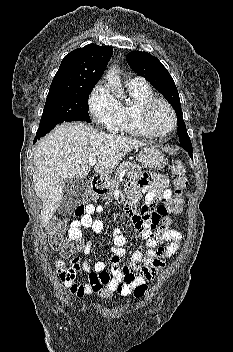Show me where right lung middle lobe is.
<instances>
[{"instance_id":"right-lung-middle-lobe-1","label":"right lung middle lobe","mask_w":233,"mask_h":352,"mask_svg":"<svg viewBox=\"0 0 233 352\" xmlns=\"http://www.w3.org/2000/svg\"><path fill=\"white\" fill-rule=\"evenodd\" d=\"M95 85L76 89H50L37 132L66 121L90 123L87 111L89 94Z\"/></svg>"}]
</instances>
